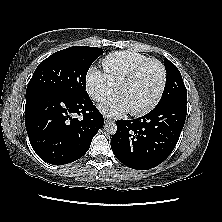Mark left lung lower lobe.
Masks as SVG:
<instances>
[{
  "label": "left lung lower lobe",
  "mask_w": 222,
  "mask_h": 222,
  "mask_svg": "<svg viewBox=\"0 0 222 222\" xmlns=\"http://www.w3.org/2000/svg\"><path fill=\"white\" fill-rule=\"evenodd\" d=\"M187 99L171 98L148 114L133 120H118L111 148L124 165L147 170L162 163L173 151L183 129Z\"/></svg>",
  "instance_id": "0a47b994"
}]
</instances>
